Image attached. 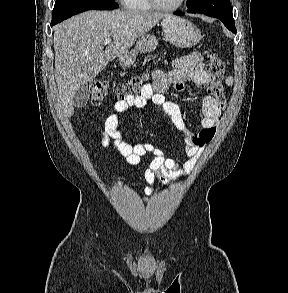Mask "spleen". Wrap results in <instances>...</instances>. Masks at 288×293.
I'll list each match as a JSON object with an SVG mask.
<instances>
[{
  "instance_id": "obj_1",
  "label": "spleen",
  "mask_w": 288,
  "mask_h": 293,
  "mask_svg": "<svg viewBox=\"0 0 288 293\" xmlns=\"http://www.w3.org/2000/svg\"><path fill=\"white\" fill-rule=\"evenodd\" d=\"M226 84L229 85V86H231V85L233 84V78L230 77V76L227 77V78H226Z\"/></svg>"
}]
</instances>
